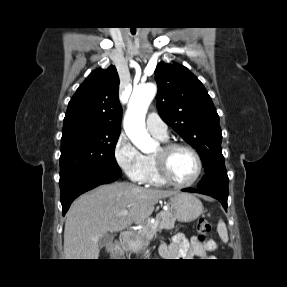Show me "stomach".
I'll list each match as a JSON object with an SVG mask.
<instances>
[{"mask_svg": "<svg viewBox=\"0 0 287 287\" xmlns=\"http://www.w3.org/2000/svg\"><path fill=\"white\" fill-rule=\"evenodd\" d=\"M170 210L180 222H192L203 212L202 202L194 195L178 192L170 197ZM142 246L140 237L128 241V247L132 251H138Z\"/></svg>", "mask_w": 287, "mask_h": 287, "instance_id": "1", "label": "stomach"}]
</instances>
